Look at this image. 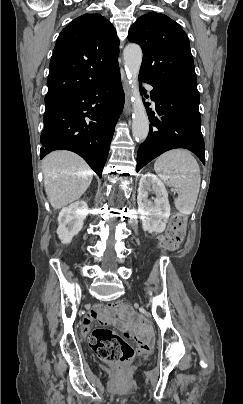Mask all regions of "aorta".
<instances>
[{
    "instance_id": "aorta-1",
    "label": "aorta",
    "mask_w": 243,
    "mask_h": 404,
    "mask_svg": "<svg viewBox=\"0 0 243 404\" xmlns=\"http://www.w3.org/2000/svg\"><path fill=\"white\" fill-rule=\"evenodd\" d=\"M125 72L129 78L130 98L133 104L132 134L136 142H144L149 134V120L138 86L142 50L137 44H128L123 52Z\"/></svg>"
}]
</instances>
